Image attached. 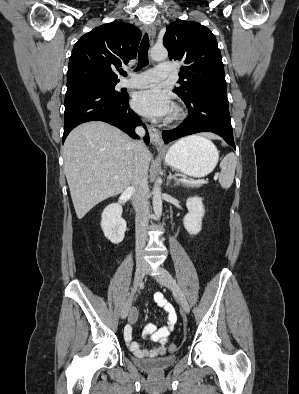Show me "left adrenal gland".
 Listing matches in <instances>:
<instances>
[{
    "mask_svg": "<svg viewBox=\"0 0 299 394\" xmlns=\"http://www.w3.org/2000/svg\"><path fill=\"white\" fill-rule=\"evenodd\" d=\"M172 180L175 181L174 185L179 184L178 179L175 176H173L171 172H169V176L167 178V186L169 185L170 181H172Z\"/></svg>",
    "mask_w": 299,
    "mask_h": 394,
    "instance_id": "left-adrenal-gland-1",
    "label": "left adrenal gland"
}]
</instances>
